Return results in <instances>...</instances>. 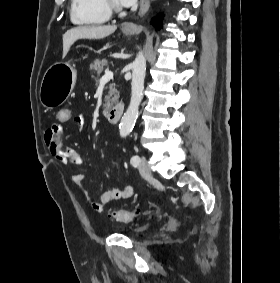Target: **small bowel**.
<instances>
[{
	"mask_svg": "<svg viewBox=\"0 0 280 283\" xmlns=\"http://www.w3.org/2000/svg\"><path fill=\"white\" fill-rule=\"evenodd\" d=\"M72 119L78 128L82 129L85 127L86 120L83 115L76 114L73 116L72 112ZM44 140L50 154L62 165L79 166L83 163V158L79 152L70 147H63V131L59 122L49 126L45 132ZM85 178L84 174H75L72 176V182L82 194L86 205L95 212H103L107 204L120 199L130 198L133 195V187L128 185L123 188L105 191L102 193L100 201H94L83 185Z\"/></svg>",
	"mask_w": 280,
	"mask_h": 283,
	"instance_id": "obj_1",
	"label": "small bowel"
}]
</instances>
